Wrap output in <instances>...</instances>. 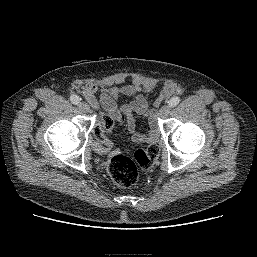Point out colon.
I'll return each instance as SVG.
<instances>
[{
	"label": "colon",
	"mask_w": 257,
	"mask_h": 257,
	"mask_svg": "<svg viewBox=\"0 0 257 257\" xmlns=\"http://www.w3.org/2000/svg\"><path fill=\"white\" fill-rule=\"evenodd\" d=\"M121 120L120 122H122ZM115 125V119L104 115L93 129L95 138L94 148L99 152H106L112 148V141L108 137ZM158 156L156 145L138 149L133 159L115 152L108 164V173L112 180L121 187H131L138 179V167L147 169L154 165Z\"/></svg>",
	"instance_id": "colon-1"
}]
</instances>
